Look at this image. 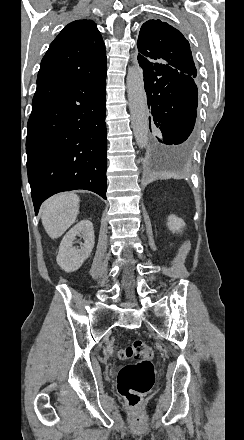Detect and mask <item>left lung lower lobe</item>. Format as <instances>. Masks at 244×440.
I'll list each match as a JSON object with an SVG mask.
<instances>
[{
  "instance_id": "left-lung-lower-lobe-1",
  "label": "left lung lower lobe",
  "mask_w": 244,
  "mask_h": 440,
  "mask_svg": "<svg viewBox=\"0 0 244 440\" xmlns=\"http://www.w3.org/2000/svg\"><path fill=\"white\" fill-rule=\"evenodd\" d=\"M148 107L153 118L149 125L158 128L163 138L149 136L151 155L187 151L193 142L197 115L198 90L195 77L178 73L165 66H141Z\"/></svg>"
}]
</instances>
